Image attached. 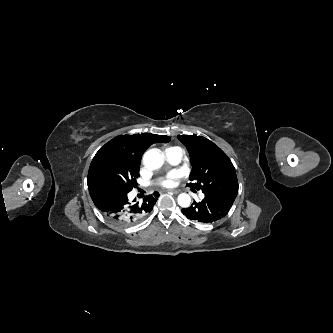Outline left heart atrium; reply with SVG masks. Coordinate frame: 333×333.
Returning a JSON list of instances; mask_svg holds the SVG:
<instances>
[{
  "label": "left heart atrium",
  "instance_id": "obj_1",
  "mask_svg": "<svg viewBox=\"0 0 333 333\" xmlns=\"http://www.w3.org/2000/svg\"><path fill=\"white\" fill-rule=\"evenodd\" d=\"M177 178V175L174 173H171L169 175H167L164 178H161L158 182V184L162 187H172L175 184V180Z\"/></svg>",
  "mask_w": 333,
  "mask_h": 333
}]
</instances>
